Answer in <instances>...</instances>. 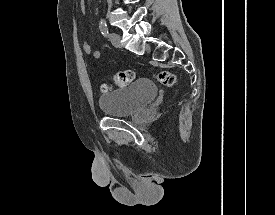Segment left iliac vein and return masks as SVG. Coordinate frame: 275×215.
Wrapping results in <instances>:
<instances>
[{
	"label": "left iliac vein",
	"instance_id": "left-iliac-vein-1",
	"mask_svg": "<svg viewBox=\"0 0 275 215\" xmlns=\"http://www.w3.org/2000/svg\"><path fill=\"white\" fill-rule=\"evenodd\" d=\"M109 39L115 47L120 48L122 46L120 43V35L119 34L113 32L109 35Z\"/></svg>",
	"mask_w": 275,
	"mask_h": 215
}]
</instances>
